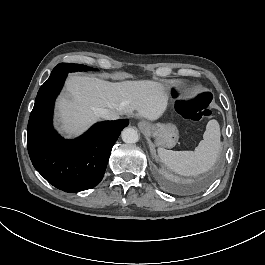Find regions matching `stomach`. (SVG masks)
<instances>
[{
	"instance_id": "0dacf381",
	"label": "stomach",
	"mask_w": 265,
	"mask_h": 265,
	"mask_svg": "<svg viewBox=\"0 0 265 265\" xmlns=\"http://www.w3.org/2000/svg\"><path fill=\"white\" fill-rule=\"evenodd\" d=\"M148 132L155 137L158 146L172 148L178 141V132L172 125L156 124Z\"/></svg>"
}]
</instances>
